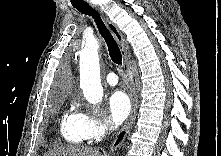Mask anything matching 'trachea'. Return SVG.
<instances>
[{"instance_id": "trachea-1", "label": "trachea", "mask_w": 221, "mask_h": 156, "mask_svg": "<svg viewBox=\"0 0 221 156\" xmlns=\"http://www.w3.org/2000/svg\"><path fill=\"white\" fill-rule=\"evenodd\" d=\"M72 6L82 14L89 15L94 19L99 33L104 38L107 44L111 60L118 66H122L121 51L97 11L91 8L86 2L82 0H72Z\"/></svg>"}]
</instances>
